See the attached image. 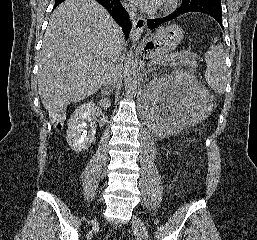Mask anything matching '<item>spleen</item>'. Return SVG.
I'll return each mask as SVG.
<instances>
[{"mask_svg": "<svg viewBox=\"0 0 257 240\" xmlns=\"http://www.w3.org/2000/svg\"><path fill=\"white\" fill-rule=\"evenodd\" d=\"M217 38H214L210 49L205 53V61L207 69L205 72V79L208 85L217 94H223L227 84V69L225 64L224 49L221 44L214 45Z\"/></svg>", "mask_w": 257, "mask_h": 240, "instance_id": "3e777b00", "label": "spleen"}]
</instances>
